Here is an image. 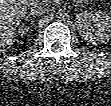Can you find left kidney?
I'll return each instance as SVG.
<instances>
[{
	"mask_svg": "<svg viewBox=\"0 0 111 106\" xmlns=\"http://www.w3.org/2000/svg\"><path fill=\"white\" fill-rule=\"evenodd\" d=\"M76 26L84 40L92 43H106L111 37V17L98 11L96 13L81 12L76 15Z\"/></svg>",
	"mask_w": 111,
	"mask_h": 106,
	"instance_id": "left-kidney-1",
	"label": "left kidney"
}]
</instances>
